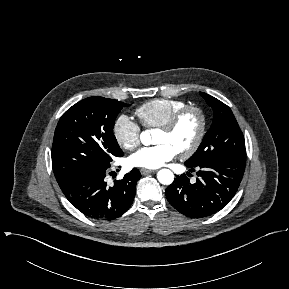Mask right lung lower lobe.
Instances as JSON below:
<instances>
[{"label":"right lung lower lobe","mask_w":289,"mask_h":289,"mask_svg":"<svg viewBox=\"0 0 289 289\" xmlns=\"http://www.w3.org/2000/svg\"><path fill=\"white\" fill-rule=\"evenodd\" d=\"M109 167L81 173L60 186L68 201L90 218L113 220L128 210L134 200L136 183L141 177L138 169L107 186L105 176Z\"/></svg>","instance_id":"right-lung-lower-lobe-1"}]
</instances>
